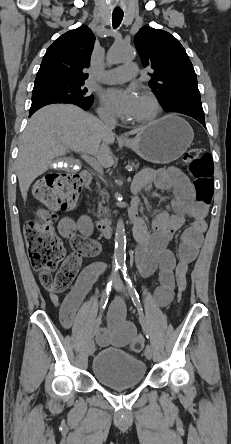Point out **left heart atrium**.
I'll return each mask as SVG.
<instances>
[{"instance_id":"obj_1","label":"left heart atrium","mask_w":231,"mask_h":444,"mask_svg":"<svg viewBox=\"0 0 231 444\" xmlns=\"http://www.w3.org/2000/svg\"><path fill=\"white\" fill-rule=\"evenodd\" d=\"M101 98L115 114L131 118L137 105L138 95L130 89L109 88L102 92Z\"/></svg>"}]
</instances>
